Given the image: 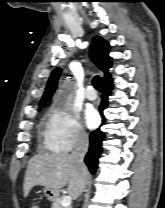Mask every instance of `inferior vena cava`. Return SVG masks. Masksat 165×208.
I'll return each instance as SVG.
<instances>
[{
	"mask_svg": "<svg viewBox=\"0 0 165 208\" xmlns=\"http://www.w3.org/2000/svg\"><path fill=\"white\" fill-rule=\"evenodd\" d=\"M89 140L88 135L81 131L77 137V141L74 147V150L71 154V158L75 162L78 170L82 175L87 174V167L84 164V157L88 151Z\"/></svg>",
	"mask_w": 165,
	"mask_h": 208,
	"instance_id": "602c4592",
	"label": "inferior vena cava"
}]
</instances>
